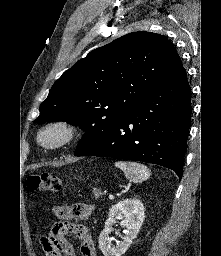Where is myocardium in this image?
I'll use <instances>...</instances> for the list:
<instances>
[{"mask_svg":"<svg viewBox=\"0 0 221 256\" xmlns=\"http://www.w3.org/2000/svg\"><path fill=\"white\" fill-rule=\"evenodd\" d=\"M79 133V127L69 119H55L43 125L36 140L45 149H58L72 143Z\"/></svg>","mask_w":221,"mask_h":256,"instance_id":"obj_1","label":"myocardium"}]
</instances>
